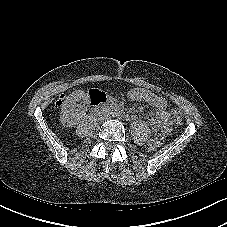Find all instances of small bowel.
I'll use <instances>...</instances> for the list:
<instances>
[{
    "mask_svg": "<svg viewBox=\"0 0 227 227\" xmlns=\"http://www.w3.org/2000/svg\"><path fill=\"white\" fill-rule=\"evenodd\" d=\"M128 95L132 100L148 102L151 104L156 114L149 119V123L153 130L165 133L170 132L171 121L168 112V103L164 97L143 88H134L130 90Z\"/></svg>",
    "mask_w": 227,
    "mask_h": 227,
    "instance_id": "small-bowel-1",
    "label": "small bowel"
}]
</instances>
